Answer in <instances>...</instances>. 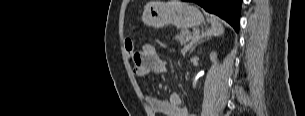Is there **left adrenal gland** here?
<instances>
[{"label": "left adrenal gland", "instance_id": "a2214340", "mask_svg": "<svg viewBox=\"0 0 305 116\" xmlns=\"http://www.w3.org/2000/svg\"><path fill=\"white\" fill-rule=\"evenodd\" d=\"M202 37H206V39L208 40V39H210L211 34H209V33H203V34H202ZM202 41H204V40H202ZM202 41H200V42H198L197 44L193 45V47L191 48V50H190L189 53H192L193 50L195 49V47H196L198 44H200Z\"/></svg>", "mask_w": 305, "mask_h": 116}]
</instances>
